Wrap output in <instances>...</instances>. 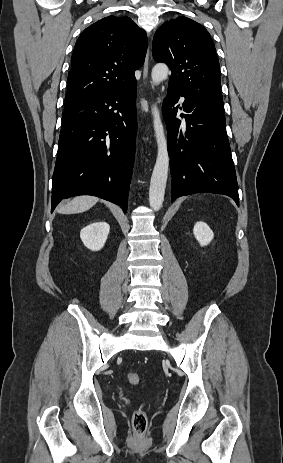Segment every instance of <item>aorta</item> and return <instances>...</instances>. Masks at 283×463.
I'll return each instance as SVG.
<instances>
[{
  "instance_id": "aorta-1",
  "label": "aorta",
  "mask_w": 283,
  "mask_h": 463,
  "mask_svg": "<svg viewBox=\"0 0 283 463\" xmlns=\"http://www.w3.org/2000/svg\"><path fill=\"white\" fill-rule=\"evenodd\" d=\"M168 66L164 63L156 64L151 73L152 86L158 85L168 76ZM153 127L158 147L157 159L153 169L149 188V204L154 211H159L163 205L165 188L168 177L169 155L167 140L161 122L160 112L155 105L152 108Z\"/></svg>"
}]
</instances>
